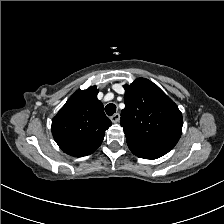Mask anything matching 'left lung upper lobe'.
Returning a JSON list of instances; mask_svg holds the SVG:
<instances>
[{
    "label": "left lung upper lobe",
    "instance_id": "1",
    "mask_svg": "<svg viewBox=\"0 0 224 224\" xmlns=\"http://www.w3.org/2000/svg\"><path fill=\"white\" fill-rule=\"evenodd\" d=\"M125 108L120 124L131 151L161 157L178 142L182 114L177 105L153 82L145 78L125 85Z\"/></svg>",
    "mask_w": 224,
    "mask_h": 224
}]
</instances>
